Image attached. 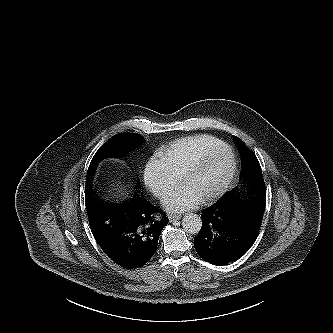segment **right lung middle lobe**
Wrapping results in <instances>:
<instances>
[{
	"label": "right lung middle lobe",
	"instance_id": "obj_1",
	"mask_svg": "<svg viewBox=\"0 0 333 333\" xmlns=\"http://www.w3.org/2000/svg\"><path fill=\"white\" fill-rule=\"evenodd\" d=\"M143 138L136 133H121L110 138L101 148L96 152L90 163L86 186L91 188L92 179L97 167V164L107 157H122L125 153L130 151L136 145H138Z\"/></svg>",
	"mask_w": 333,
	"mask_h": 333
}]
</instances>
